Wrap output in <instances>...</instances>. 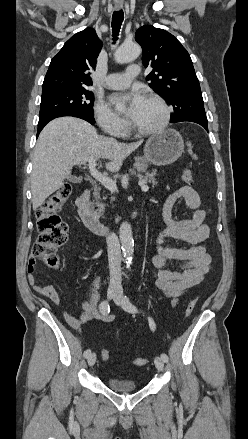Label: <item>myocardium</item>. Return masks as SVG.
<instances>
[{"mask_svg": "<svg viewBox=\"0 0 248 439\" xmlns=\"http://www.w3.org/2000/svg\"><path fill=\"white\" fill-rule=\"evenodd\" d=\"M146 99L154 101L158 105H160V107L163 110V118L159 124H157L156 126H154L152 128H148V129L139 128L133 123L132 120H130L129 125H130L131 131L134 132L135 134L141 135V136L152 135V134H155V133H158V132L164 130L169 125L170 120H171V115H172L171 107L167 104V102L162 97H160L156 94H150L147 96Z\"/></svg>", "mask_w": 248, "mask_h": 439, "instance_id": "myocardium-1", "label": "myocardium"}]
</instances>
